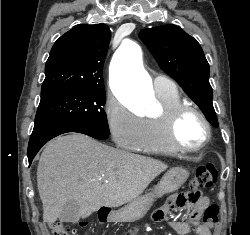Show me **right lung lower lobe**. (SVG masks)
I'll list each match as a JSON object with an SVG mask.
<instances>
[{
	"label": "right lung lower lobe",
	"mask_w": 250,
	"mask_h": 235,
	"mask_svg": "<svg viewBox=\"0 0 250 235\" xmlns=\"http://www.w3.org/2000/svg\"><path fill=\"white\" fill-rule=\"evenodd\" d=\"M67 132H78L96 139H107L108 134L77 123L59 120H46L34 125L28 145L29 165L40 148L52 138Z\"/></svg>",
	"instance_id": "right-lung-lower-lobe-1"
}]
</instances>
